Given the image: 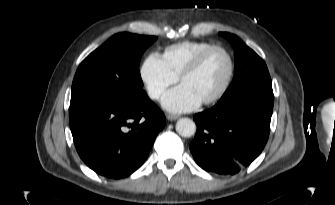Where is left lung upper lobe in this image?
<instances>
[{
	"label": "left lung upper lobe",
	"mask_w": 335,
	"mask_h": 205,
	"mask_svg": "<svg viewBox=\"0 0 335 205\" xmlns=\"http://www.w3.org/2000/svg\"><path fill=\"white\" fill-rule=\"evenodd\" d=\"M235 50V76L219 102L241 95H256L274 100L267 66L252 49L234 34L221 32Z\"/></svg>",
	"instance_id": "5c2ea615"
}]
</instances>
